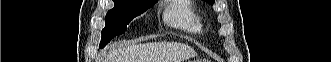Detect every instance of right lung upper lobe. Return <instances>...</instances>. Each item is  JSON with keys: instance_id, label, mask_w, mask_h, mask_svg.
I'll return each mask as SVG.
<instances>
[{"instance_id": "cb5924a9", "label": "right lung upper lobe", "mask_w": 331, "mask_h": 62, "mask_svg": "<svg viewBox=\"0 0 331 62\" xmlns=\"http://www.w3.org/2000/svg\"><path fill=\"white\" fill-rule=\"evenodd\" d=\"M144 1H148V2H156L157 0H144Z\"/></svg>"}]
</instances>
